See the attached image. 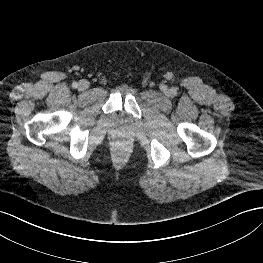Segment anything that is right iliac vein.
<instances>
[{
  "label": "right iliac vein",
  "mask_w": 263,
  "mask_h": 263,
  "mask_svg": "<svg viewBox=\"0 0 263 263\" xmlns=\"http://www.w3.org/2000/svg\"><path fill=\"white\" fill-rule=\"evenodd\" d=\"M89 88V82L87 80H81L78 84V89L84 91Z\"/></svg>",
  "instance_id": "obj_1"
}]
</instances>
